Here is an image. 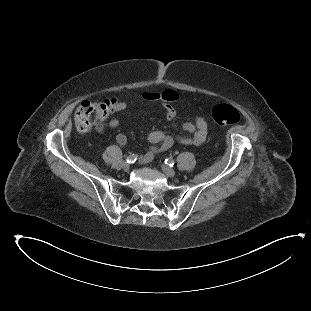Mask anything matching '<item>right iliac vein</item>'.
<instances>
[{
	"instance_id": "63e3f726",
	"label": "right iliac vein",
	"mask_w": 311,
	"mask_h": 311,
	"mask_svg": "<svg viewBox=\"0 0 311 311\" xmlns=\"http://www.w3.org/2000/svg\"><path fill=\"white\" fill-rule=\"evenodd\" d=\"M122 168L124 171H128L130 169V163H128L127 161L123 162Z\"/></svg>"
}]
</instances>
